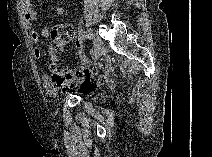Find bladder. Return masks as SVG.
<instances>
[{
    "instance_id": "bladder-1",
    "label": "bladder",
    "mask_w": 212,
    "mask_h": 157,
    "mask_svg": "<svg viewBox=\"0 0 212 157\" xmlns=\"http://www.w3.org/2000/svg\"><path fill=\"white\" fill-rule=\"evenodd\" d=\"M93 100L95 103L100 104L103 101V96L100 94H95Z\"/></svg>"
}]
</instances>
